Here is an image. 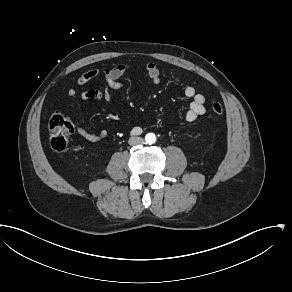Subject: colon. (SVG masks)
Masks as SVG:
<instances>
[{"instance_id":"5ec220e1","label":"colon","mask_w":292,"mask_h":292,"mask_svg":"<svg viewBox=\"0 0 292 292\" xmlns=\"http://www.w3.org/2000/svg\"><path fill=\"white\" fill-rule=\"evenodd\" d=\"M209 108L215 115H223V106L217 99L209 100ZM74 132L71 121L61 112L55 111L49 120V144L54 152H63Z\"/></svg>"}]
</instances>
